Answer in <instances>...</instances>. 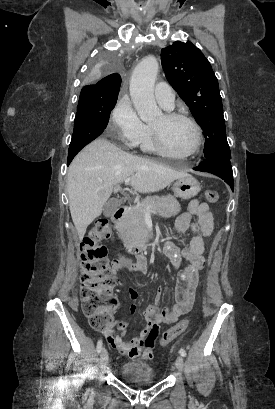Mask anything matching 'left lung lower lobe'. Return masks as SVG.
Wrapping results in <instances>:
<instances>
[{"instance_id": "obj_1", "label": "left lung lower lobe", "mask_w": 275, "mask_h": 409, "mask_svg": "<svg viewBox=\"0 0 275 409\" xmlns=\"http://www.w3.org/2000/svg\"><path fill=\"white\" fill-rule=\"evenodd\" d=\"M231 156L220 154L213 158L205 159L199 166L193 168L197 171L209 172L222 178L234 190L232 177Z\"/></svg>"}]
</instances>
